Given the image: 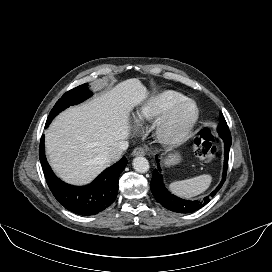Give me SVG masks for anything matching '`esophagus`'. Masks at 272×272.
I'll use <instances>...</instances> for the list:
<instances>
[{"mask_svg":"<svg viewBox=\"0 0 272 272\" xmlns=\"http://www.w3.org/2000/svg\"><path fill=\"white\" fill-rule=\"evenodd\" d=\"M146 154V150L142 147H137L133 150V156H144Z\"/></svg>","mask_w":272,"mask_h":272,"instance_id":"34e87169","label":"esophagus"}]
</instances>
